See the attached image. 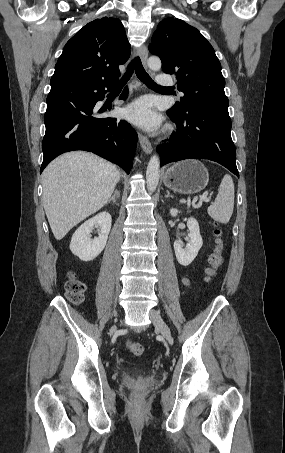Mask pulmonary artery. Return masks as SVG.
<instances>
[{"label":"pulmonary artery","mask_w":285,"mask_h":453,"mask_svg":"<svg viewBox=\"0 0 285 453\" xmlns=\"http://www.w3.org/2000/svg\"><path fill=\"white\" fill-rule=\"evenodd\" d=\"M157 83L161 85H171L172 81L169 77L164 74H160L157 76Z\"/></svg>","instance_id":"1"}]
</instances>
